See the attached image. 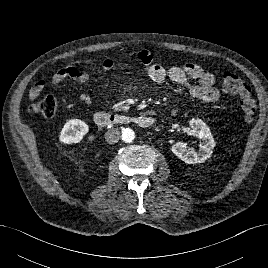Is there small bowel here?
<instances>
[{
  "label": "small bowel",
  "mask_w": 268,
  "mask_h": 268,
  "mask_svg": "<svg viewBox=\"0 0 268 268\" xmlns=\"http://www.w3.org/2000/svg\"><path fill=\"white\" fill-rule=\"evenodd\" d=\"M138 59L144 67V74L151 81L161 84L168 77L179 88L186 89L192 98L203 104H210L217 101L219 92L214 87V77L201 66L186 63L183 66H173L166 69L154 63L152 56L145 50L138 54ZM100 68L102 71H111L114 68V63L110 59L103 60L100 63ZM68 79L84 83L89 79V73L75 66L62 68L52 76V83L60 84ZM47 84L48 81L46 79L38 80L29 91L30 98H37ZM80 99L86 105L92 104V98L88 94H82Z\"/></svg>",
  "instance_id": "small-bowel-1"
}]
</instances>
